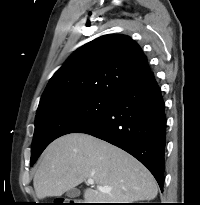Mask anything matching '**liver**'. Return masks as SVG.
Returning <instances> with one entry per match:
<instances>
[{
  "mask_svg": "<svg viewBox=\"0 0 200 205\" xmlns=\"http://www.w3.org/2000/svg\"><path fill=\"white\" fill-rule=\"evenodd\" d=\"M88 179L111 190L87 188V203H132L153 200L158 193L154 177L137 159L83 133L66 134L45 149L33 185L37 198L44 199L61 196Z\"/></svg>",
  "mask_w": 200,
  "mask_h": 205,
  "instance_id": "obj_1",
  "label": "liver"
}]
</instances>
